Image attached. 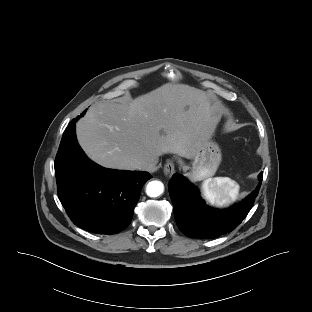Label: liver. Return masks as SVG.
I'll return each mask as SVG.
<instances>
[{"mask_svg": "<svg viewBox=\"0 0 312 312\" xmlns=\"http://www.w3.org/2000/svg\"><path fill=\"white\" fill-rule=\"evenodd\" d=\"M222 117L206 92L165 84L129 104L100 101L76 124L78 142L99 165L138 170L166 153L192 159L214 135Z\"/></svg>", "mask_w": 312, "mask_h": 312, "instance_id": "6515ba94", "label": "liver"}]
</instances>
